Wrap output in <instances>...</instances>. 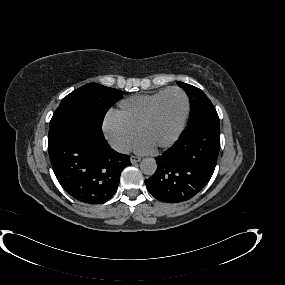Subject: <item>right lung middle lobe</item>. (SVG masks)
<instances>
[{
	"label": "right lung middle lobe",
	"mask_w": 285,
	"mask_h": 285,
	"mask_svg": "<svg viewBox=\"0 0 285 285\" xmlns=\"http://www.w3.org/2000/svg\"><path fill=\"white\" fill-rule=\"evenodd\" d=\"M122 95L123 91L117 89L97 83L86 84L63 98L51 118L49 130L72 119H85L102 125L103 116Z\"/></svg>",
	"instance_id": "obj_1"
}]
</instances>
